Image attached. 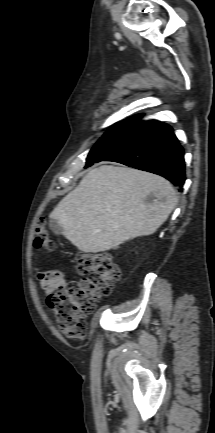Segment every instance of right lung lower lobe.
<instances>
[{
	"mask_svg": "<svg viewBox=\"0 0 215 433\" xmlns=\"http://www.w3.org/2000/svg\"><path fill=\"white\" fill-rule=\"evenodd\" d=\"M183 156V148L172 128L151 120L128 145L103 161H114L158 174L181 188L185 181Z\"/></svg>",
	"mask_w": 215,
	"mask_h": 433,
	"instance_id": "right-lung-lower-lobe-1",
	"label": "right lung lower lobe"
}]
</instances>
